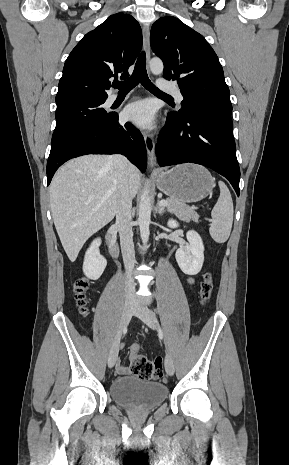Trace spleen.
<instances>
[{"label":"spleen","instance_id":"spleen-1","mask_svg":"<svg viewBox=\"0 0 289 465\" xmlns=\"http://www.w3.org/2000/svg\"><path fill=\"white\" fill-rule=\"evenodd\" d=\"M220 196L211 211L212 221L209 233L217 243H224L228 240L233 223V201L228 187L224 182L219 181Z\"/></svg>","mask_w":289,"mask_h":465}]
</instances>
